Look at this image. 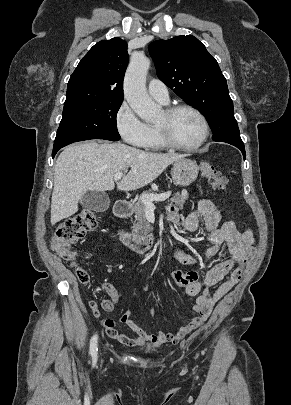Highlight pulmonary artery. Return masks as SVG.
<instances>
[{
    "label": "pulmonary artery",
    "mask_w": 291,
    "mask_h": 405,
    "mask_svg": "<svg viewBox=\"0 0 291 405\" xmlns=\"http://www.w3.org/2000/svg\"><path fill=\"white\" fill-rule=\"evenodd\" d=\"M148 92L157 101L167 104L169 102V92L166 85L159 79H151L148 83Z\"/></svg>",
    "instance_id": "obj_1"
}]
</instances>
